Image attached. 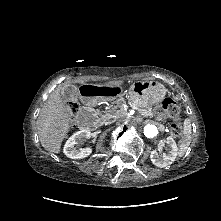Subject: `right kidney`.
Listing matches in <instances>:
<instances>
[{"mask_svg": "<svg viewBox=\"0 0 221 221\" xmlns=\"http://www.w3.org/2000/svg\"><path fill=\"white\" fill-rule=\"evenodd\" d=\"M90 137L89 130H82L74 133L65 143L63 152L71 159H81L89 156L92 152L91 148H79L75 147L76 144L80 143L83 139Z\"/></svg>", "mask_w": 221, "mask_h": 221, "instance_id": "obj_1", "label": "right kidney"}]
</instances>
